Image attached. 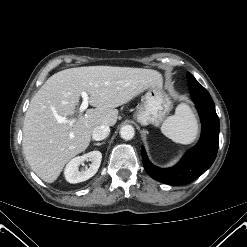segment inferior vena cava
Wrapping results in <instances>:
<instances>
[{
    "instance_id": "602c4592",
    "label": "inferior vena cava",
    "mask_w": 247,
    "mask_h": 247,
    "mask_svg": "<svg viewBox=\"0 0 247 247\" xmlns=\"http://www.w3.org/2000/svg\"><path fill=\"white\" fill-rule=\"evenodd\" d=\"M110 128L108 125H100L94 128L92 132V139L95 141H101L108 137Z\"/></svg>"
}]
</instances>
